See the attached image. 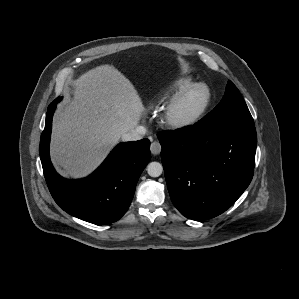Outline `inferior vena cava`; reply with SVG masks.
<instances>
[{
    "instance_id": "obj_1",
    "label": "inferior vena cava",
    "mask_w": 299,
    "mask_h": 299,
    "mask_svg": "<svg viewBox=\"0 0 299 299\" xmlns=\"http://www.w3.org/2000/svg\"><path fill=\"white\" fill-rule=\"evenodd\" d=\"M146 134V128L144 126H137L133 130H131L128 133H125L122 136V140L124 141H136L143 138V136Z\"/></svg>"
}]
</instances>
